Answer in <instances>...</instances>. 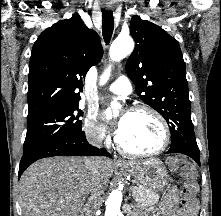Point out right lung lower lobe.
<instances>
[{"mask_svg": "<svg viewBox=\"0 0 221 216\" xmlns=\"http://www.w3.org/2000/svg\"><path fill=\"white\" fill-rule=\"evenodd\" d=\"M107 156L111 155L104 148H97L90 145L85 137L84 132L78 135L61 138L38 147L28 153L23 154L20 166L18 178L21 177L24 170L33 162L52 156Z\"/></svg>", "mask_w": 221, "mask_h": 216, "instance_id": "1", "label": "right lung lower lobe"}]
</instances>
